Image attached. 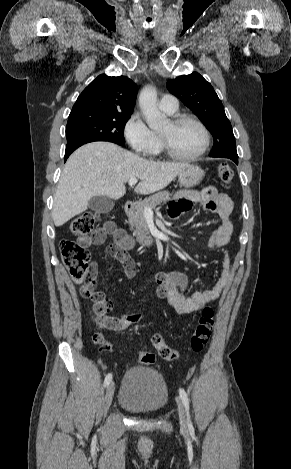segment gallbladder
<instances>
[{
	"label": "gallbladder",
	"mask_w": 291,
	"mask_h": 469,
	"mask_svg": "<svg viewBox=\"0 0 291 469\" xmlns=\"http://www.w3.org/2000/svg\"><path fill=\"white\" fill-rule=\"evenodd\" d=\"M88 207L96 213H108L114 207V202L106 196H94L88 202Z\"/></svg>",
	"instance_id": "gallbladder-1"
}]
</instances>
